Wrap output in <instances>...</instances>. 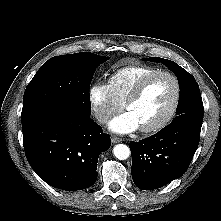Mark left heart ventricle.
I'll return each mask as SVG.
<instances>
[{
	"label": "left heart ventricle",
	"instance_id": "b2bd125f",
	"mask_svg": "<svg viewBox=\"0 0 221 221\" xmlns=\"http://www.w3.org/2000/svg\"><path fill=\"white\" fill-rule=\"evenodd\" d=\"M174 83L168 76H157L145 87L141 96L127 107L139 123L147 127L161 120L174 98Z\"/></svg>",
	"mask_w": 221,
	"mask_h": 221
}]
</instances>
